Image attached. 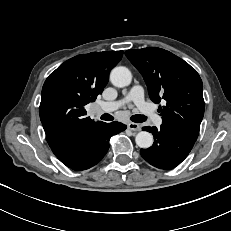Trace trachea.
Here are the masks:
<instances>
[{"mask_svg":"<svg viewBox=\"0 0 231 231\" xmlns=\"http://www.w3.org/2000/svg\"><path fill=\"white\" fill-rule=\"evenodd\" d=\"M101 119L105 121H112L114 120V117L108 113H105L101 116ZM130 119L135 123H142L147 120V117L144 115L136 114V115H132Z\"/></svg>","mask_w":231,"mask_h":231,"instance_id":"trachea-1","label":"trachea"}]
</instances>
